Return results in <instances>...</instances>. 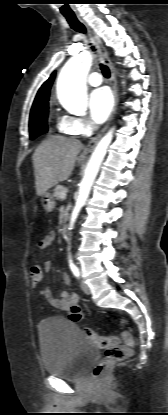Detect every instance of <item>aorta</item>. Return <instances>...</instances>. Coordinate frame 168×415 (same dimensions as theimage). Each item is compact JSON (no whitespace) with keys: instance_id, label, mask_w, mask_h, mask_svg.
Returning a JSON list of instances; mask_svg holds the SVG:
<instances>
[{"instance_id":"762f6f07","label":"aorta","mask_w":168,"mask_h":415,"mask_svg":"<svg viewBox=\"0 0 168 415\" xmlns=\"http://www.w3.org/2000/svg\"><path fill=\"white\" fill-rule=\"evenodd\" d=\"M92 64L90 53H82L72 57L61 69L57 80V95L61 105L70 113H84L87 108L86 77ZM114 128L97 144L87 165L85 175L80 184L79 194L71 214L69 230L74 223L82 206L85 204L92 184L97 176L100 165L106 155L108 146L113 139Z\"/></svg>"}]
</instances>
